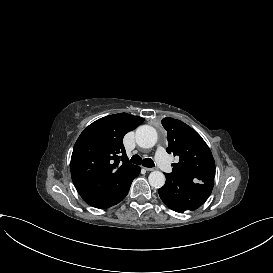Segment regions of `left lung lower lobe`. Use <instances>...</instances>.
I'll use <instances>...</instances> for the list:
<instances>
[{
    "label": "left lung lower lobe",
    "instance_id": "obj_1",
    "mask_svg": "<svg viewBox=\"0 0 273 273\" xmlns=\"http://www.w3.org/2000/svg\"><path fill=\"white\" fill-rule=\"evenodd\" d=\"M165 176L166 183L158 193L170 209L179 213L199 208L211 194L214 185V182L198 183L171 173Z\"/></svg>",
    "mask_w": 273,
    "mask_h": 273
}]
</instances>
